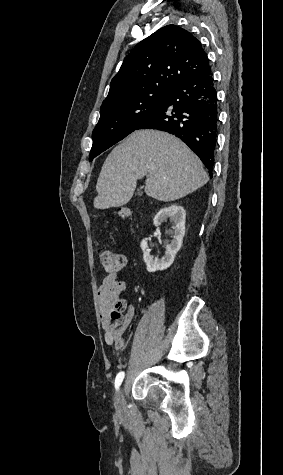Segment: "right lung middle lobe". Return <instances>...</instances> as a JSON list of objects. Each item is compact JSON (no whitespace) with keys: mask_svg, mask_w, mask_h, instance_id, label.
Here are the masks:
<instances>
[{"mask_svg":"<svg viewBox=\"0 0 283 475\" xmlns=\"http://www.w3.org/2000/svg\"><path fill=\"white\" fill-rule=\"evenodd\" d=\"M168 92H153L101 106L100 119L93 130L89 160L135 131L159 107Z\"/></svg>","mask_w":283,"mask_h":475,"instance_id":"1","label":"right lung middle lobe"}]
</instances>
